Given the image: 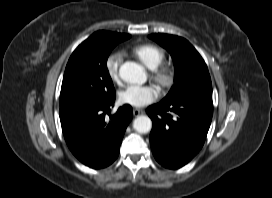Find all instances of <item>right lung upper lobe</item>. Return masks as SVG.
I'll list each match as a JSON object with an SVG mask.
<instances>
[{
    "label": "right lung upper lobe",
    "mask_w": 272,
    "mask_h": 198,
    "mask_svg": "<svg viewBox=\"0 0 272 198\" xmlns=\"http://www.w3.org/2000/svg\"><path fill=\"white\" fill-rule=\"evenodd\" d=\"M127 34H120L116 32L98 31L92 34L87 40L82 42L71 55L68 64L72 63L80 54L91 48L97 42L105 39H113L126 36Z\"/></svg>",
    "instance_id": "right-lung-upper-lobe-1"
}]
</instances>
